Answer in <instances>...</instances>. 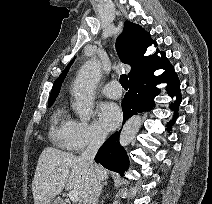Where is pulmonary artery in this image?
Segmentation results:
<instances>
[{
  "label": "pulmonary artery",
  "mask_w": 212,
  "mask_h": 204,
  "mask_svg": "<svg viewBox=\"0 0 212 204\" xmlns=\"http://www.w3.org/2000/svg\"><path fill=\"white\" fill-rule=\"evenodd\" d=\"M101 92L109 97V98H113V99H117L119 97H121L122 95V89L120 84L117 81H111L108 84H106Z\"/></svg>",
  "instance_id": "pulmonary-artery-1"
}]
</instances>
